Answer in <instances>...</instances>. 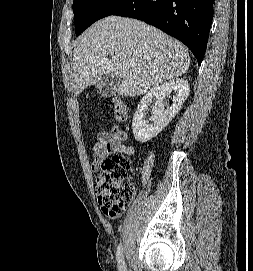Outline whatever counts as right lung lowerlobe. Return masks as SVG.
Returning a JSON list of instances; mask_svg holds the SVG:
<instances>
[{
  "mask_svg": "<svg viewBox=\"0 0 253 271\" xmlns=\"http://www.w3.org/2000/svg\"><path fill=\"white\" fill-rule=\"evenodd\" d=\"M112 15L136 18L183 42L200 65L213 19V0H127Z\"/></svg>",
  "mask_w": 253,
  "mask_h": 271,
  "instance_id": "right-lung-lower-lobe-1",
  "label": "right lung lower lobe"
}]
</instances>
